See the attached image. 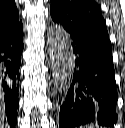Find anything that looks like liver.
I'll return each instance as SVG.
<instances>
[{"label": "liver", "instance_id": "liver-1", "mask_svg": "<svg viewBox=\"0 0 125 128\" xmlns=\"http://www.w3.org/2000/svg\"><path fill=\"white\" fill-rule=\"evenodd\" d=\"M0 128H8V125L5 124L4 109H3V101H2L1 91H0Z\"/></svg>", "mask_w": 125, "mask_h": 128}]
</instances>
